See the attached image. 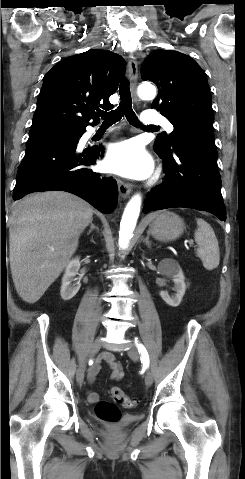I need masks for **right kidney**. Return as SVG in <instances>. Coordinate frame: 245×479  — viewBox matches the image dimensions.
I'll use <instances>...</instances> for the list:
<instances>
[{
    "label": "right kidney",
    "mask_w": 245,
    "mask_h": 479,
    "mask_svg": "<svg viewBox=\"0 0 245 479\" xmlns=\"http://www.w3.org/2000/svg\"><path fill=\"white\" fill-rule=\"evenodd\" d=\"M79 268V257L72 259L66 267L60 290L61 297L64 301L72 299L80 289L81 284L75 278L78 274Z\"/></svg>",
    "instance_id": "ca27d5eb"
}]
</instances>
